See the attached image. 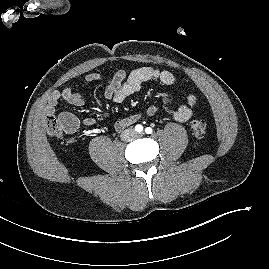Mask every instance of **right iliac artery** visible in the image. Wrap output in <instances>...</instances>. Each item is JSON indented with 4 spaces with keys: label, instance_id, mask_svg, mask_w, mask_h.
I'll use <instances>...</instances> for the list:
<instances>
[{
    "label": "right iliac artery",
    "instance_id": "obj_1",
    "mask_svg": "<svg viewBox=\"0 0 269 269\" xmlns=\"http://www.w3.org/2000/svg\"><path fill=\"white\" fill-rule=\"evenodd\" d=\"M135 131H137L138 133L142 132L143 131V126L138 124L135 126Z\"/></svg>",
    "mask_w": 269,
    "mask_h": 269
}]
</instances>
